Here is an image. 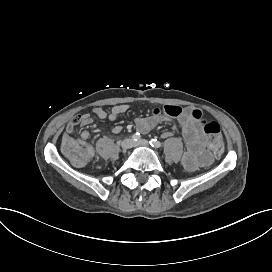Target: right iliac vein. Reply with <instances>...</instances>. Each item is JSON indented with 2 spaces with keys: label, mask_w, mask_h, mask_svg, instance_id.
<instances>
[{
  "label": "right iliac vein",
  "mask_w": 272,
  "mask_h": 272,
  "mask_svg": "<svg viewBox=\"0 0 272 272\" xmlns=\"http://www.w3.org/2000/svg\"><path fill=\"white\" fill-rule=\"evenodd\" d=\"M132 145H133V142L129 138L124 139L120 144L121 148L124 149V150H127V149L131 148Z\"/></svg>",
  "instance_id": "1"
}]
</instances>
